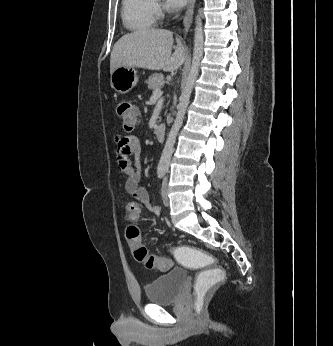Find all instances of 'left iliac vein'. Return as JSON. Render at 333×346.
<instances>
[{
  "label": "left iliac vein",
  "instance_id": "left-iliac-vein-1",
  "mask_svg": "<svg viewBox=\"0 0 333 346\" xmlns=\"http://www.w3.org/2000/svg\"><path fill=\"white\" fill-rule=\"evenodd\" d=\"M162 199H163L164 205L169 206L170 201L168 197V183L166 178L163 180V183H162Z\"/></svg>",
  "mask_w": 333,
  "mask_h": 346
}]
</instances>
